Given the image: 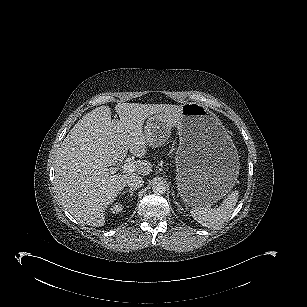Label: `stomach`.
<instances>
[{
    "label": "stomach",
    "instance_id": "1",
    "mask_svg": "<svg viewBox=\"0 0 307 307\" xmlns=\"http://www.w3.org/2000/svg\"><path fill=\"white\" fill-rule=\"evenodd\" d=\"M177 127L176 184L186 204H213L233 187L239 173L237 150L219 118L200 103L180 105L174 112L151 116L145 130L161 145Z\"/></svg>",
    "mask_w": 307,
    "mask_h": 307
}]
</instances>
